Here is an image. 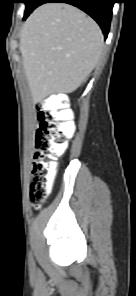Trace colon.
<instances>
[{
    "label": "colon",
    "mask_w": 136,
    "mask_h": 296,
    "mask_svg": "<svg viewBox=\"0 0 136 296\" xmlns=\"http://www.w3.org/2000/svg\"><path fill=\"white\" fill-rule=\"evenodd\" d=\"M37 118L40 129L35 137L30 185L33 205H40L46 200L56 173L57 159L66 151L74 127L69 112L59 107L52 98L40 103Z\"/></svg>",
    "instance_id": "obj_1"
}]
</instances>
